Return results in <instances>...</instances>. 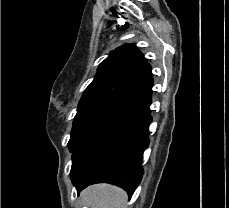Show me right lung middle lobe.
<instances>
[{
	"label": "right lung middle lobe",
	"mask_w": 229,
	"mask_h": 208,
	"mask_svg": "<svg viewBox=\"0 0 229 208\" xmlns=\"http://www.w3.org/2000/svg\"><path fill=\"white\" fill-rule=\"evenodd\" d=\"M146 108L143 104L117 97L79 105L68 142L69 150L73 153L71 171L92 148L119 131Z\"/></svg>",
	"instance_id": "1"
}]
</instances>
